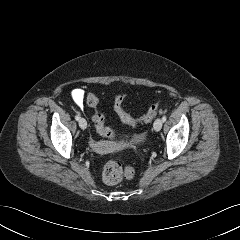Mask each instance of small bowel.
I'll return each instance as SVG.
<instances>
[{"label": "small bowel", "mask_w": 240, "mask_h": 240, "mask_svg": "<svg viewBox=\"0 0 240 240\" xmlns=\"http://www.w3.org/2000/svg\"><path fill=\"white\" fill-rule=\"evenodd\" d=\"M74 103L78 107H82L85 101V91L81 88H76L71 93ZM92 147L99 152H108L113 148L109 142H91Z\"/></svg>", "instance_id": "1"}]
</instances>
